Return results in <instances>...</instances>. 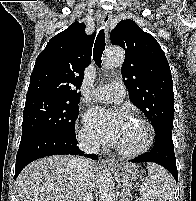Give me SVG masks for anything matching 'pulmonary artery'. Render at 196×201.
<instances>
[{"mask_svg": "<svg viewBox=\"0 0 196 201\" xmlns=\"http://www.w3.org/2000/svg\"><path fill=\"white\" fill-rule=\"evenodd\" d=\"M126 95V89L121 81H113L101 88L93 91L92 96L94 99L109 103H119Z\"/></svg>", "mask_w": 196, "mask_h": 201, "instance_id": "pulmonary-artery-1", "label": "pulmonary artery"}]
</instances>
